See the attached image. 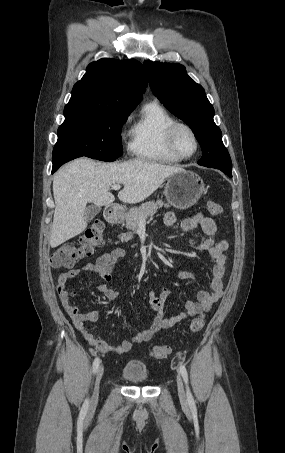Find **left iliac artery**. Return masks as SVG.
<instances>
[{
	"label": "left iliac artery",
	"mask_w": 285,
	"mask_h": 453,
	"mask_svg": "<svg viewBox=\"0 0 285 453\" xmlns=\"http://www.w3.org/2000/svg\"><path fill=\"white\" fill-rule=\"evenodd\" d=\"M179 369H180V373L183 377V380L186 384V389H187V400H188V403H189V406L192 408V409H196V405H195V401H194V398L190 392V389L188 387V374H187V370L185 368V366L180 363L179 365Z\"/></svg>",
	"instance_id": "1"
}]
</instances>
